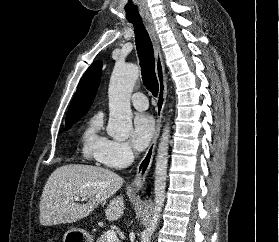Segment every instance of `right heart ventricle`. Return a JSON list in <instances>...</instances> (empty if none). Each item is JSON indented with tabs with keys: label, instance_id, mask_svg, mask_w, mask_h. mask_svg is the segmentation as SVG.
I'll use <instances>...</instances> for the list:
<instances>
[{
	"label": "right heart ventricle",
	"instance_id": "1",
	"mask_svg": "<svg viewBox=\"0 0 279 242\" xmlns=\"http://www.w3.org/2000/svg\"><path fill=\"white\" fill-rule=\"evenodd\" d=\"M103 116L101 113L93 115L86 124L81 135L82 154L87 159H98L110 140L102 132Z\"/></svg>",
	"mask_w": 279,
	"mask_h": 242
}]
</instances>
